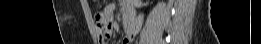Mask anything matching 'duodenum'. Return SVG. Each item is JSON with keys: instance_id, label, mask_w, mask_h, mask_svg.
<instances>
[{"instance_id": "1", "label": "duodenum", "mask_w": 261, "mask_h": 44, "mask_svg": "<svg viewBox=\"0 0 261 44\" xmlns=\"http://www.w3.org/2000/svg\"><path fill=\"white\" fill-rule=\"evenodd\" d=\"M123 22H124V30L126 34L127 35L131 34L134 25V19L129 16H125L123 17Z\"/></svg>"}]
</instances>
